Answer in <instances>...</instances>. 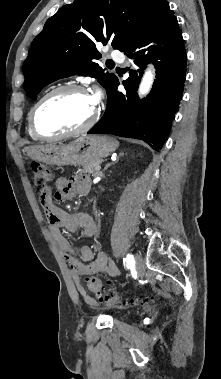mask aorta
I'll use <instances>...</instances> for the list:
<instances>
[{"label":"aorta","mask_w":221,"mask_h":379,"mask_svg":"<svg viewBox=\"0 0 221 379\" xmlns=\"http://www.w3.org/2000/svg\"><path fill=\"white\" fill-rule=\"evenodd\" d=\"M153 80H154V74L151 70H148L144 74L142 81H141V84L139 86V95L140 96H144V95L149 93V91L152 87V84H153Z\"/></svg>","instance_id":"obj_1"}]
</instances>
